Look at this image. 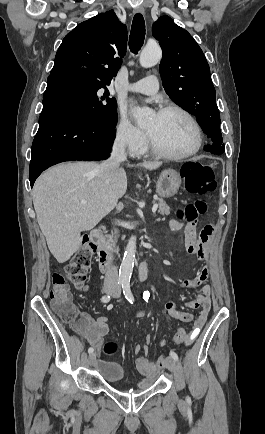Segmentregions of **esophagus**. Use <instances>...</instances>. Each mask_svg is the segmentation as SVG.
Returning a JSON list of instances; mask_svg holds the SVG:
<instances>
[{"label":"esophagus","mask_w":265,"mask_h":434,"mask_svg":"<svg viewBox=\"0 0 265 434\" xmlns=\"http://www.w3.org/2000/svg\"><path fill=\"white\" fill-rule=\"evenodd\" d=\"M144 12V9L142 8V7H137V8H135L134 9V11H133V13H135V14H137V13H143Z\"/></svg>","instance_id":"esophagus-1"}]
</instances>
